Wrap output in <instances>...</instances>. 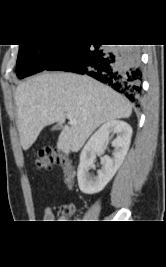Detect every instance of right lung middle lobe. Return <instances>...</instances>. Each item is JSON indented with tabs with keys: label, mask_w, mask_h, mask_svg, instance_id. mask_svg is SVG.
<instances>
[{
	"label": "right lung middle lobe",
	"mask_w": 166,
	"mask_h": 267,
	"mask_svg": "<svg viewBox=\"0 0 166 267\" xmlns=\"http://www.w3.org/2000/svg\"><path fill=\"white\" fill-rule=\"evenodd\" d=\"M66 45H20L17 58V77L26 76L43 71L60 53Z\"/></svg>",
	"instance_id": "1"
}]
</instances>
